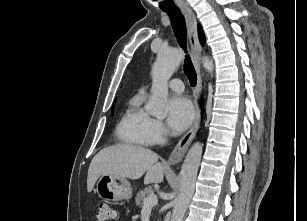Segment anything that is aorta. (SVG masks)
<instances>
[{"label":"aorta","instance_id":"762f6f07","mask_svg":"<svg viewBox=\"0 0 307 221\" xmlns=\"http://www.w3.org/2000/svg\"><path fill=\"white\" fill-rule=\"evenodd\" d=\"M183 58L179 49H162L152 68V97L145 109L157 118H165L168 99V81ZM203 67L213 73L211 59L203 57ZM203 152V145L196 142L189 149L180 171L179 194L174 201L171 221H182L195 189V181Z\"/></svg>","mask_w":307,"mask_h":221}]
</instances>
